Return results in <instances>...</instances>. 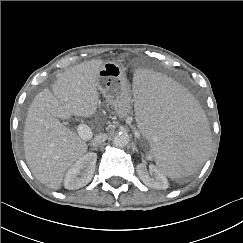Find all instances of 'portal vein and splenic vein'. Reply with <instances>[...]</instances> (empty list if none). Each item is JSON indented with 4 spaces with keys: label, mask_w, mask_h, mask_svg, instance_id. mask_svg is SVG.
Instances as JSON below:
<instances>
[{
    "label": "portal vein and splenic vein",
    "mask_w": 243,
    "mask_h": 243,
    "mask_svg": "<svg viewBox=\"0 0 243 243\" xmlns=\"http://www.w3.org/2000/svg\"><path fill=\"white\" fill-rule=\"evenodd\" d=\"M77 132L79 136L85 140H89L92 137L91 129L85 124H80L77 127Z\"/></svg>",
    "instance_id": "18ae733b"
}]
</instances>
